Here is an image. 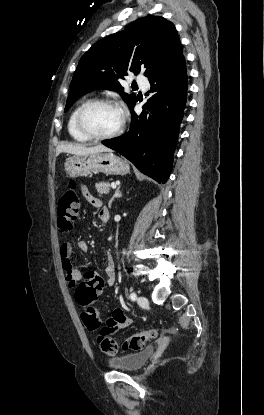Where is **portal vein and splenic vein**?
<instances>
[{
	"label": "portal vein and splenic vein",
	"instance_id": "18ae733b",
	"mask_svg": "<svg viewBox=\"0 0 264 415\" xmlns=\"http://www.w3.org/2000/svg\"><path fill=\"white\" fill-rule=\"evenodd\" d=\"M111 187L114 189V188H116V184L115 183H112L111 184Z\"/></svg>",
	"mask_w": 264,
	"mask_h": 415
}]
</instances>
